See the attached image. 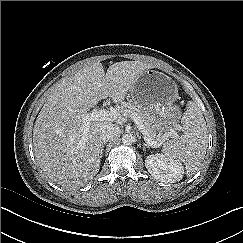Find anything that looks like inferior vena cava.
I'll return each instance as SVG.
<instances>
[{"mask_svg": "<svg viewBox=\"0 0 243 243\" xmlns=\"http://www.w3.org/2000/svg\"><path fill=\"white\" fill-rule=\"evenodd\" d=\"M120 133V128L115 124H108L101 128L100 139L102 143L108 142Z\"/></svg>", "mask_w": 243, "mask_h": 243, "instance_id": "obj_1", "label": "inferior vena cava"}]
</instances>
